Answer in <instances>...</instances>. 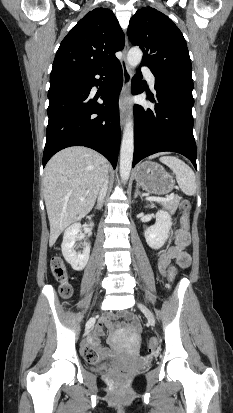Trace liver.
<instances>
[{
	"label": "liver",
	"instance_id": "1",
	"mask_svg": "<svg viewBox=\"0 0 233 413\" xmlns=\"http://www.w3.org/2000/svg\"><path fill=\"white\" fill-rule=\"evenodd\" d=\"M108 168L101 154L82 146L65 148L49 160L44 169L43 194L50 247L66 227L92 210Z\"/></svg>",
	"mask_w": 233,
	"mask_h": 413
}]
</instances>
